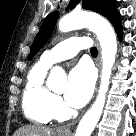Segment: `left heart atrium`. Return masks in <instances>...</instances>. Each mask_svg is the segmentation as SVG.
<instances>
[{
	"label": "left heart atrium",
	"mask_w": 136,
	"mask_h": 136,
	"mask_svg": "<svg viewBox=\"0 0 136 136\" xmlns=\"http://www.w3.org/2000/svg\"><path fill=\"white\" fill-rule=\"evenodd\" d=\"M95 84L93 68L84 62L76 65L70 72L65 100L73 108L84 106L90 99Z\"/></svg>",
	"instance_id": "left-heart-atrium-1"
}]
</instances>
